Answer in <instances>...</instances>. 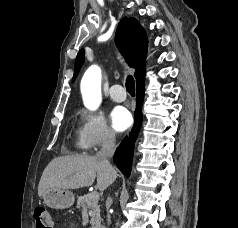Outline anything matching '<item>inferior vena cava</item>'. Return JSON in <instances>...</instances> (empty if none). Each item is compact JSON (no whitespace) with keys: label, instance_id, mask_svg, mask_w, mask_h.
Here are the masks:
<instances>
[{"label":"inferior vena cava","instance_id":"obj_1","mask_svg":"<svg viewBox=\"0 0 238 228\" xmlns=\"http://www.w3.org/2000/svg\"><path fill=\"white\" fill-rule=\"evenodd\" d=\"M115 151V136L113 133L108 132L106 134V137L103 141V145L101 150L96 154V156L100 159H102L107 165L111 166L109 163V158H111ZM108 201L111 202L112 199L108 197ZM107 221L108 224L111 223V217L110 214H107Z\"/></svg>","mask_w":238,"mask_h":228}]
</instances>
